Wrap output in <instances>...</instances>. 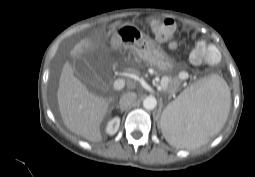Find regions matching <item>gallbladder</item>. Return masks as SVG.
I'll use <instances>...</instances> for the list:
<instances>
[{
    "mask_svg": "<svg viewBox=\"0 0 255 177\" xmlns=\"http://www.w3.org/2000/svg\"><path fill=\"white\" fill-rule=\"evenodd\" d=\"M75 74L87 84L97 82V75L90 63L83 57L77 56L71 61Z\"/></svg>",
    "mask_w": 255,
    "mask_h": 177,
    "instance_id": "obj_1",
    "label": "gallbladder"
}]
</instances>
